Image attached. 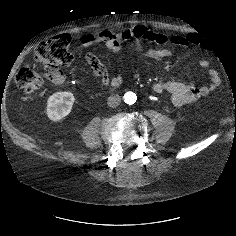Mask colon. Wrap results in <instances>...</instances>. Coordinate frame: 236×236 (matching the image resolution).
Wrapping results in <instances>:
<instances>
[{
	"label": "colon",
	"instance_id": "5ec220e1",
	"mask_svg": "<svg viewBox=\"0 0 236 236\" xmlns=\"http://www.w3.org/2000/svg\"><path fill=\"white\" fill-rule=\"evenodd\" d=\"M33 55L38 66L22 68L16 76L17 86L27 93L38 90L45 81L58 77L60 68L73 61L69 39L65 36H57L40 43Z\"/></svg>",
	"mask_w": 236,
	"mask_h": 236
}]
</instances>
